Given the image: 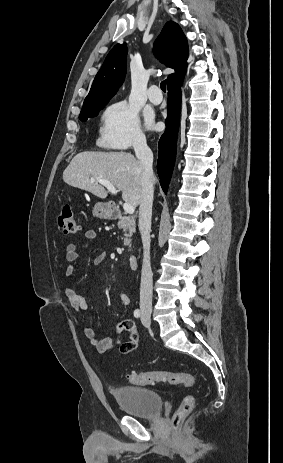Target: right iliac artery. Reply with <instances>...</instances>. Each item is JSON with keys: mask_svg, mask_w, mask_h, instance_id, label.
Returning <instances> with one entry per match:
<instances>
[{"mask_svg": "<svg viewBox=\"0 0 283 463\" xmlns=\"http://www.w3.org/2000/svg\"><path fill=\"white\" fill-rule=\"evenodd\" d=\"M140 315H141V311H140L139 309H136V310L134 311V316H135L136 318H139Z\"/></svg>", "mask_w": 283, "mask_h": 463, "instance_id": "1", "label": "right iliac artery"}]
</instances>
